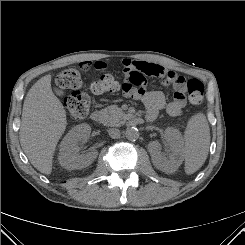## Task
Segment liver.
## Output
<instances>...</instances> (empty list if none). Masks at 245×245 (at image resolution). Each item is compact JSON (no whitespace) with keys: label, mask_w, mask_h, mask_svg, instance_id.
<instances>
[{"label":"liver","mask_w":245,"mask_h":245,"mask_svg":"<svg viewBox=\"0 0 245 245\" xmlns=\"http://www.w3.org/2000/svg\"><path fill=\"white\" fill-rule=\"evenodd\" d=\"M51 75L40 78L23 104L20 144L31 164L41 173L52 171L56 145L67 126L66 111L51 88Z\"/></svg>","instance_id":"6515ba94"}]
</instances>
